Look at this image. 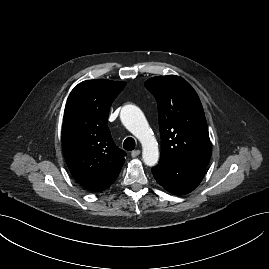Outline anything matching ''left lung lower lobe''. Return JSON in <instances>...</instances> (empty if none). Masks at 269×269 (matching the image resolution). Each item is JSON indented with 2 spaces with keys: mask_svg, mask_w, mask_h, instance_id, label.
<instances>
[{
  "mask_svg": "<svg viewBox=\"0 0 269 269\" xmlns=\"http://www.w3.org/2000/svg\"><path fill=\"white\" fill-rule=\"evenodd\" d=\"M205 171L206 167L169 157H160L158 165L152 168L156 181L175 195L193 191L203 179Z\"/></svg>",
  "mask_w": 269,
  "mask_h": 269,
  "instance_id": "obj_1",
  "label": "left lung lower lobe"
}]
</instances>
